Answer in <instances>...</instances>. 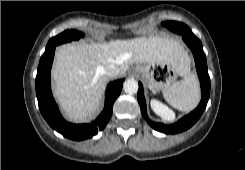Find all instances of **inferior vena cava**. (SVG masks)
<instances>
[{"label":"inferior vena cava","instance_id":"1","mask_svg":"<svg viewBox=\"0 0 245 170\" xmlns=\"http://www.w3.org/2000/svg\"><path fill=\"white\" fill-rule=\"evenodd\" d=\"M119 68L116 67L115 65L111 64L108 67H106L104 69V73L108 76V77H116L117 75H119Z\"/></svg>","mask_w":245,"mask_h":170}]
</instances>
